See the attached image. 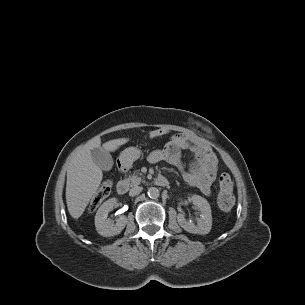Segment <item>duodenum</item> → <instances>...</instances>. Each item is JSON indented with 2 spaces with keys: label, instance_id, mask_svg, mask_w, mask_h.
I'll use <instances>...</instances> for the list:
<instances>
[{
  "label": "duodenum",
  "instance_id": "1",
  "mask_svg": "<svg viewBox=\"0 0 305 305\" xmlns=\"http://www.w3.org/2000/svg\"><path fill=\"white\" fill-rule=\"evenodd\" d=\"M126 169L124 166H121V171L124 172ZM155 184L160 187H165L168 185V180L164 176H159L155 180ZM129 183L126 180H121L117 184V192L120 195L125 194L128 191Z\"/></svg>",
  "mask_w": 305,
  "mask_h": 305
}]
</instances>
